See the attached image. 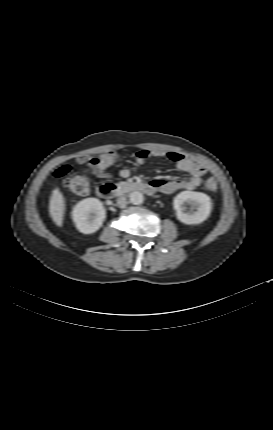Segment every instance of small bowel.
<instances>
[{
	"instance_id": "obj_1",
	"label": "small bowel",
	"mask_w": 273,
	"mask_h": 430,
	"mask_svg": "<svg viewBox=\"0 0 273 430\" xmlns=\"http://www.w3.org/2000/svg\"><path fill=\"white\" fill-rule=\"evenodd\" d=\"M166 157L176 163L178 169L189 173L187 179H178L167 181L162 179L154 180L152 183L156 189L165 194H171L178 190H193L197 188L201 182L203 175L206 174L207 168L200 162L187 158L184 155L175 151L163 150H147L143 149L136 153L135 162L138 165H143L150 158ZM80 163H86L91 167L93 173L100 178H109V168L116 165L119 161L118 155L115 152H105L99 156H82L78 158ZM131 172L127 168L120 170V176L128 178Z\"/></svg>"
}]
</instances>
